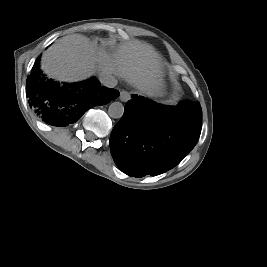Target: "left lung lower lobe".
I'll list each match as a JSON object with an SVG mask.
<instances>
[{"mask_svg":"<svg viewBox=\"0 0 267 267\" xmlns=\"http://www.w3.org/2000/svg\"><path fill=\"white\" fill-rule=\"evenodd\" d=\"M202 123L199 102L162 106L137 94L110 136L112 157L129 176L158 175L178 165L198 141Z\"/></svg>","mask_w":267,"mask_h":267,"instance_id":"left-lung-lower-lobe-1","label":"left lung lower lobe"}]
</instances>
